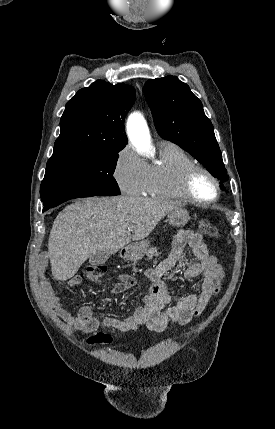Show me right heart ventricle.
<instances>
[{
  "mask_svg": "<svg viewBox=\"0 0 275 429\" xmlns=\"http://www.w3.org/2000/svg\"><path fill=\"white\" fill-rule=\"evenodd\" d=\"M195 164L194 159L180 146L163 142L159 159L149 166V179L145 194L154 198L186 200L180 188L183 172Z\"/></svg>",
  "mask_w": 275,
  "mask_h": 429,
  "instance_id": "right-heart-ventricle-1",
  "label": "right heart ventricle"
}]
</instances>
